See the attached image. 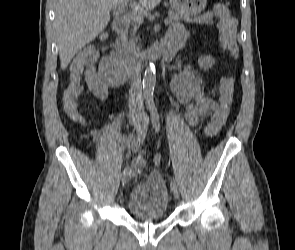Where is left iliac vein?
Segmentation results:
<instances>
[{
    "instance_id": "4c4485c4",
    "label": "left iliac vein",
    "mask_w": 295,
    "mask_h": 250,
    "mask_svg": "<svg viewBox=\"0 0 295 250\" xmlns=\"http://www.w3.org/2000/svg\"><path fill=\"white\" fill-rule=\"evenodd\" d=\"M171 191H172L174 197H175L176 199H178L179 194H178V189H177V187L171 188Z\"/></svg>"
}]
</instances>
